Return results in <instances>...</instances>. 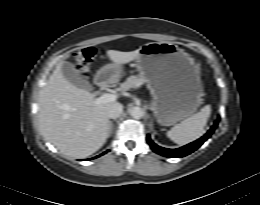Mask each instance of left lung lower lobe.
I'll return each instance as SVG.
<instances>
[{"mask_svg":"<svg viewBox=\"0 0 260 205\" xmlns=\"http://www.w3.org/2000/svg\"><path fill=\"white\" fill-rule=\"evenodd\" d=\"M217 125H218V121L214 123L211 129L203 137H201L197 141H194L178 149H167V148L160 147L151 140L149 135H147L146 139L154 152L165 157L179 158V157H184L190 154L191 152L195 151L196 149H198L211 136V134L214 132Z\"/></svg>","mask_w":260,"mask_h":205,"instance_id":"left-lung-lower-lobe-1","label":"left lung lower lobe"}]
</instances>
